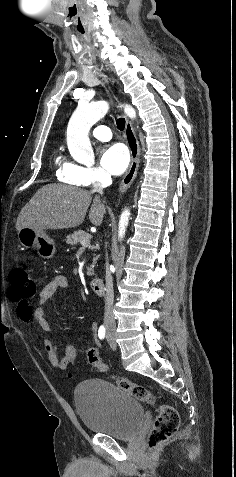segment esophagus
Masks as SVG:
<instances>
[{
  "label": "esophagus",
  "mask_w": 236,
  "mask_h": 477,
  "mask_svg": "<svg viewBox=\"0 0 236 477\" xmlns=\"http://www.w3.org/2000/svg\"><path fill=\"white\" fill-rule=\"evenodd\" d=\"M125 135H126V140L130 149V154H131V162L129 169L125 176L123 177L120 186H119V192L123 193L125 192L132 182L134 181L138 168H139V163H140V148H139V142L137 140L136 134L134 132L132 123L126 118V125H125Z\"/></svg>",
  "instance_id": "obj_1"
}]
</instances>
